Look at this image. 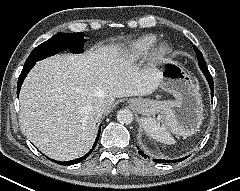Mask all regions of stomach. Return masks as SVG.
I'll return each instance as SVG.
<instances>
[{"label": "stomach", "mask_w": 240, "mask_h": 191, "mask_svg": "<svg viewBox=\"0 0 240 191\" xmlns=\"http://www.w3.org/2000/svg\"><path fill=\"white\" fill-rule=\"evenodd\" d=\"M159 87L175 97L170 101L135 98L129 102L145 118L162 115L178 135H191L197 131L203 119L202 96L184 69L175 62L161 70ZM144 125V122H143Z\"/></svg>", "instance_id": "0dacf381"}]
</instances>
